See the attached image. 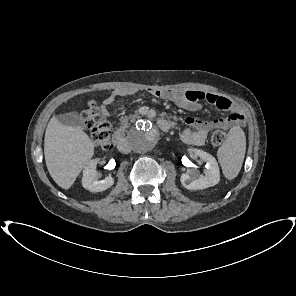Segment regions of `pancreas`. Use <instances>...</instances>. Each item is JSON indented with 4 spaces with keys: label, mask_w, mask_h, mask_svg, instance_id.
<instances>
[{
    "label": "pancreas",
    "mask_w": 296,
    "mask_h": 296,
    "mask_svg": "<svg viewBox=\"0 0 296 296\" xmlns=\"http://www.w3.org/2000/svg\"><path fill=\"white\" fill-rule=\"evenodd\" d=\"M132 119V116H125L123 118H121L120 123H121V130H125L126 128H128L130 126L129 121Z\"/></svg>",
    "instance_id": "cf45deb5"
}]
</instances>
